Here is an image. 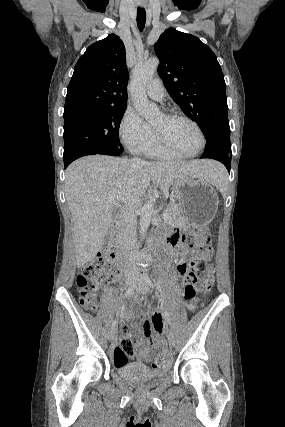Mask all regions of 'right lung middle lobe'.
<instances>
[{
  "instance_id": "obj_1",
  "label": "right lung middle lobe",
  "mask_w": 285,
  "mask_h": 427,
  "mask_svg": "<svg viewBox=\"0 0 285 427\" xmlns=\"http://www.w3.org/2000/svg\"><path fill=\"white\" fill-rule=\"evenodd\" d=\"M125 110L107 108L64 119V164L85 155H120L119 126Z\"/></svg>"
}]
</instances>
